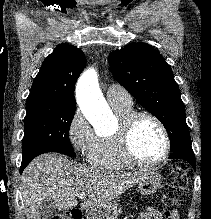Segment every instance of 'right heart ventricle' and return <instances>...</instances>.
<instances>
[{
  "mask_svg": "<svg viewBox=\"0 0 211 219\" xmlns=\"http://www.w3.org/2000/svg\"><path fill=\"white\" fill-rule=\"evenodd\" d=\"M111 107L121 121L133 112L132 105H111ZM88 160L90 164L106 169H124L130 166L120 152L117 133L97 137L95 145L88 155Z\"/></svg>",
  "mask_w": 211,
  "mask_h": 219,
  "instance_id": "e07e8e85",
  "label": "right heart ventricle"
}]
</instances>
